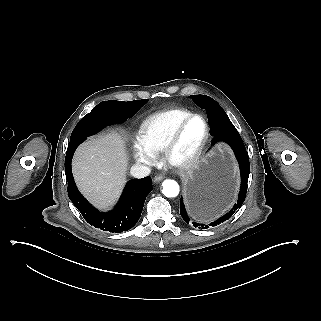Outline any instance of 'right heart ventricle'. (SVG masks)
<instances>
[{
    "label": "right heart ventricle",
    "mask_w": 321,
    "mask_h": 321,
    "mask_svg": "<svg viewBox=\"0 0 321 321\" xmlns=\"http://www.w3.org/2000/svg\"><path fill=\"white\" fill-rule=\"evenodd\" d=\"M193 114L183 107H172L152 113L146 117L140 126V137L156 155L163 153L164 146L178 122ZM162 160L159 164H162Z\"/></svg>",
    "instance_id": "1"
}]
</instances>
